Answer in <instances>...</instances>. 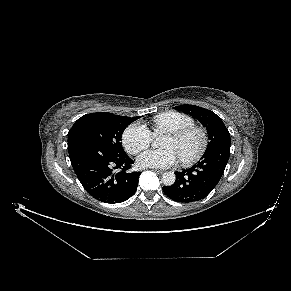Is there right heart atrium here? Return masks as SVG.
Segmentation results:
<instances>
[{"instance_id": "d8ad5b80", "label": "right heart atrium", "mask_w": 291, "mask_h": 291, "mask_svg": "<svg viewBox=\"0 0 291 291\" xmlns=\"http://www.w3.org/2000/svg\"><path fill=\"white\" fill-rule=\"evenodd\" d=\"M125 149L131 154H138L146 149L152 141V133L142 123H134L128 126L122 136Z\"/></svg>"}]
</instances>
